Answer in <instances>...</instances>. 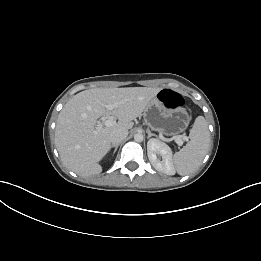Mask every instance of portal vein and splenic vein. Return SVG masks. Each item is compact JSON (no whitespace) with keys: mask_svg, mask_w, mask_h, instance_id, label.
I'll use <instances>...</instances> for the list:
<instances>
[{"mask_svg":"<svg viewBox=\"0 0 261 261\" xmlns=\"http://www.w3.org/2000/svg\"><path fill=\"white\" fill-rule=\"evenodd\" d=\"M116 106H117V104H110V105H107L106 108H107L108 110H113ZM115 123H116V122H115L114 119H108V120H106V121H104V122H98V123H97L96 130L94 131V135H97L98 132H100L104 126L110 127V126H113ZM165 140H166V141H172L173 139L165 138ZM175 142H176L179 146H181V145L183 144V141H182V139H180V138H176V139H175Z\"/></svg>","mask_w":261,"mask_h":261,"instance_id":"portal-vein-and-splenic-vein-1","label":"portal vein and splenic vein"}]
</instances>
